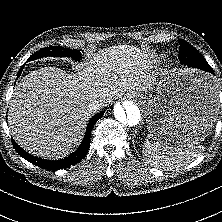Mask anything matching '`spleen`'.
I'll use <instances>...</instances> for the list:
<instances>
[{
	"mask_svg": "<svg viewBox=\"0 0 222 222\" xmlns=\"http://www.w3.org/2000/svg\"><path fill=\"white\" fill-rule=\"evenodd\" d=\"M203 151V145H188L176 148L158 141L149 140L145 141L142 148L145 161L154 167L162 168H174L187 165L192 160L201 156Z\"/></svg>",
	"mask_w": 222,
	"mask_h": 222,
	"instance_id": "1",
	"label": "spleen"
}]
</instances>
